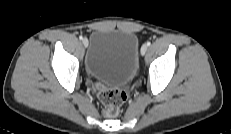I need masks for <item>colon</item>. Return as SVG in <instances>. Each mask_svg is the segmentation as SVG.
Returning <instances> with one entry per match:
<instances>
[{
	"instance_id": "obj_1",
	"label": "colon",
	"mask_w": 231,
	"mask_h": 134,
	"mask_svg": "<svg viewBox=\"0 0 231 134\" xmlns=\"http://www.w3.org/2000/svg\"><path fill=\"white\" fill-rule=\"evenodd\" d=\"M99 99L103 105L104 115L115 117L127 98L125 90L98 86Z\"/></svg>"
}]
</instances>
